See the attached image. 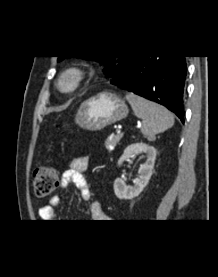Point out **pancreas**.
Here are the masks:
<instances>
[{
    "label": "pancreas",
    "instance_id": "cf45deb5",
    "mask_svg": "<svg viewBox=\"0 0 218 277\" xmlns=\"http://www.w3.org/2000/svg\"><path fill=\"white\" fill-rule=\"evenodd\" d=\"M123 134H117L111 137H108L104 143V146L107 150H112L116 147V145L120 142L122 139Z\"/></svg>",
    "mask_w": 218,
    "mask_h": 277
}]
</instances>
